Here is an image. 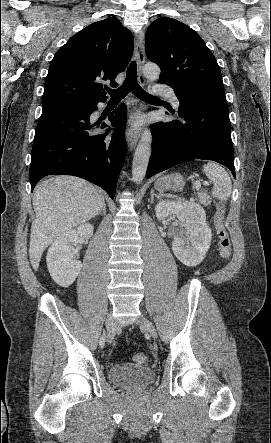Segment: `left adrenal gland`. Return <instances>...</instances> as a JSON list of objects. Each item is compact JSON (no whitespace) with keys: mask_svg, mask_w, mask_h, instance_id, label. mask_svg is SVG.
Masks as SVG:
<instances>
[{"mask_svg":"<svg viewBox=\"0 0 271 443\" xmlns=\"http://www.w3.org/2000/svg\"><path fill=\"white\" fill-rule=\"evenodd\" d=\"M154 198H157V200H162L161 196H157L154 190H151V204H154Z\"/></svg>","mask_w":271,"mask_h":443,"instance_id":"1","label":"left adrenal gland"}]
</instances>
